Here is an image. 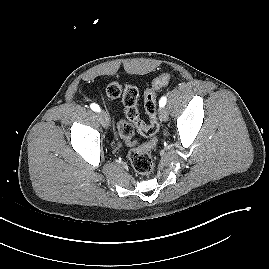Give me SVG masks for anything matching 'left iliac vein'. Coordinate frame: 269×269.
Listing matches in <instances>:
<instances>
[{
	"label": "left iliac vein",
	"instance_id": "obj_1",
	"mask_svg": "<svg viewBox=\"0 0 269 269\" xmlns=\"http://www.w3.org/2000/svg\"><path fill=\"white\" fill-rule=\"evenodd\" d=\"M159 117H160V120H162V121L168 120V112L165 108H163V107L160 108Z\"/></svg>",
	"mask_w": 269,
	"mask_h": 269
}]
</instances>
